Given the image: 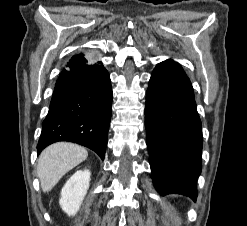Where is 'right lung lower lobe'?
<instances>
[{"mask_svg": "<svg viewBox=\"0 0 247 226\" xmlns=\"http://www.w3.org/2000/svg\"><path fill=\"white\" fill-rule=\"evenodd\" d=\"M112 89L101 62L73 56L62 70L42 123L38 153L58 141L95 151L104 160L111 119Z\"/></svg>", "mask_w": 247, "mask_h": 226, "instance_id": "right-lung-lower-lobe-1", "label": "right lung lower lobe"}]
</instances>
